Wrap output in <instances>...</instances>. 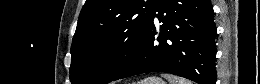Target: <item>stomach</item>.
Masks as SVG:
<instances>
[{
    "label": "stomach",
    "instance_id": "obj_1",
    "mask_svg": "<svg viewBox=\"0 0 260 84\" xmlns=\"http://www.w3.org/2000/svg\"><path fill=\"white\" fill-rule=\"evenodd\" d=\"M137 84H166V83L161 78L152 76L137 82Z\"/></svg>",
    "mask_w": 260,
    "mask_h": 84
}]
</instances>
